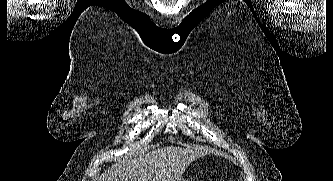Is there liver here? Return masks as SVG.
I'll return each mask as SVG.
<instances>
[{
    "label": "liver",
    "instance_id": "liver-1",
    "mask_svg": "<svg viewBox=\"0 0 333 181\" xmlns=\"http://www.w3.org/2000/svg\"><path fill=\"white\" fill-rule=\"evenodd\" d=\"M205 153L196 147H163L106 169L99 181H178L185 169Z\"/></svg>",
    "mask_w": 333,
    "mask_h": 181
}]
</instances>
